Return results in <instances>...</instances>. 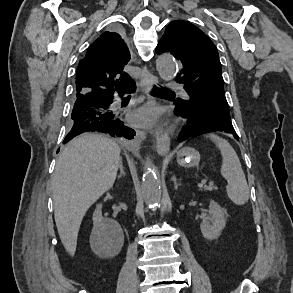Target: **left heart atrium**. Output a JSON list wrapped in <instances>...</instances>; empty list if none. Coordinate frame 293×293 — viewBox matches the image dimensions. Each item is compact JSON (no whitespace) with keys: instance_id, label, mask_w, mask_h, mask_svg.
Here are the masks:
<instances>
[{"instance_id":"left-heart-atrium-1","label":"left heart atrium","mask_w":293,"mask_h":293,"mask_svg":"<svg viewBox=\"0 0 293 293\" xmlns=\"http://www.w3.org/2000/svg\"><path fill=\"white\" fill-rule=\"evenodd\" d=\"M161 110L155 105H146L130 116V121L138 126H151L158 122Z\"/></svg>"}]
</instances>
